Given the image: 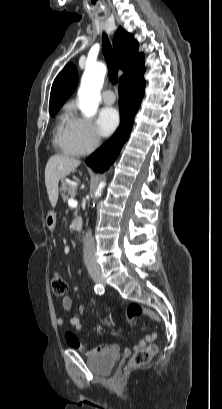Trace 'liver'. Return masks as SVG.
I'll list each match as a JSON object with an SVG mask.
<instances>
[{"mask_svg": "<svg viewBox=\"0 0 222 409\" xmlns=\"http://www.w3.org/2000/svg\"><path fill=\"white\" fill-rule=\"evenodd\" d=\"M79 165L78 159L64 155H53L49 158L45 167V185L52 207L57 204L59 181L68 176Z\"/></svg>", "mask_w": 222, "mask_h": 409, "instance_id": "1", "label": "liver"}]
</instances>
